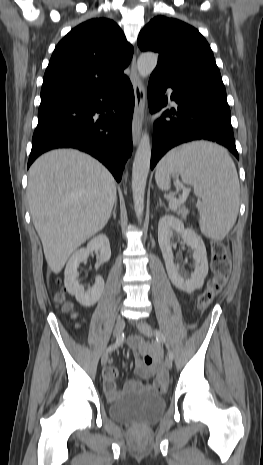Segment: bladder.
Wrapping results in <instances>:
<instances>
[{
    "mask_svg": "<svg viewBox=\"0 0 263 465\" xmlns=\"http://www.w3.org/2000/svg\"><path fill=\"white\" fill-rule=\"evenodd\" d=\"M165 405L161 395L141 390L113 401L109 405V416L121 423L150 425L161 418Z\"/></svg>",
    "mask_w": 263,
    "mask_h": 465,
    "instance_id": "bladder-1",
    "label": "bladder"
}]
</instances>
